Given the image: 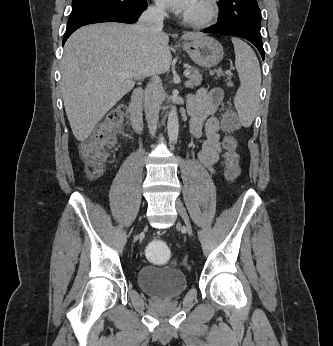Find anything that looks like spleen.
<instances>
[{
	"label": "spleen",
	"mask_w": 333,
	"mask_h": 346,
	"mask_svg": "<svg viewBox=\"0 0 333 346\" xmlns=\"http://www.w3.org/2000/svg\"><path fill=\"white\" fill-rule=\"evenodd\" d=\"M232 43L235 51V66L241 81L234 104L242 124L249 127L259 105L260 65L254 51L247 43L237 38H232Z\"/></svg>",
	"instance_id": "3e777b00"
}]
</instances>
